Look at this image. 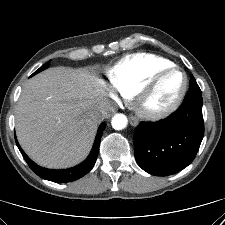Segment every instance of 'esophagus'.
Masks as SVG:
<instances>
[{"mask_svg":"<svg viewBox=\"0 0 225 225\" xmlns=\"http://www.w3.org/2000/svg\"><path fill=\"white\" fill-rule=\"evenodd\" d=\"M129 119H130V124L132 126H137L139 124L138 119L134 117L133 115H130Z\"/></svg>","mask_w":225,"mask_h":225,"instance_id":"34e87169","label":"esophagus"}]
</instances>
